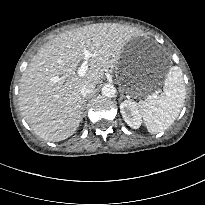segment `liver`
<instances>
[{"label":"liver","mask_w":205,"mask_h":205,"mask_svg":"<svg viewBox=\"0 0 205 205\" xmlns=\"http://www.w3.org/2000/svg\"><path fill=\"white\" fill-rule=\"evenodd\" d=\"M133 36L127 26L97 23L66 31L46 43L32 58L19 85L20 110L34 133L52 142L71 136L81 122V88L98 83ZM84 49L95 56L89 58L85 75L78 77L75 71Z\"/></svg>","instance_id":"obj_1"}]
</instances>
